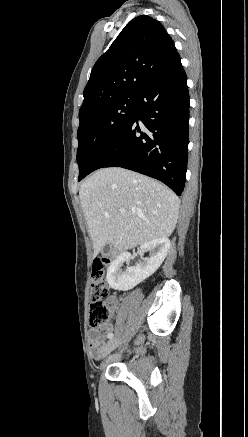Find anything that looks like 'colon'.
<instances>
[{
    "label": "colon",
    "instance_id": "colon-1",
    "mask_svg": "<svg viewBox=\"0 0 248 437\" xmlns=\"http://www.w3.org/2000/svg\"><path fill=\"white\" fill-rule=\"evenodd\" d=\"M106 263L104 259H95L92 265L89 324L93 328L106 325L113 317L110 290L105 280Z\"/></svg>",
    "mask_w": 248,
    "mask_h": 437
}]
</instances>
